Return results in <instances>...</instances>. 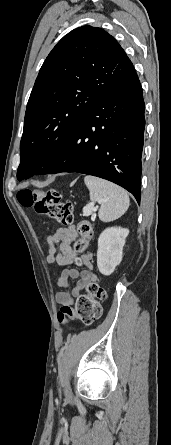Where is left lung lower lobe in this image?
Wrapping results in <instances>:
<instances>
[{
  "label": "left lung lower lobe",
  "instance_id": "0a47b994",
  "mask_svg": "<svg viewBox=\"0 0 171 445\" xmlns=\"http://www.w3.org/2000/svg\"><path fill=\"white\" fill-rule=\"evenodd\" d=\"M144 108L134 71L88 108L59 152L36 175L78 172L97 176L125 188L140 203Z\"/></svg>",
  "mask_w": 171,
  "mask_h": 445
}]
</instances>
